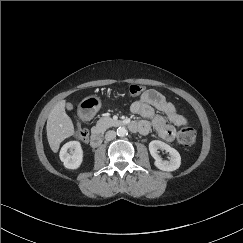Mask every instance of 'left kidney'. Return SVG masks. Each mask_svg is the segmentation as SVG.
Segmentation results:
<instances>
[{
  "instance_id": "left-kidney-1",
  "label": "left kidney",
  "mask_w": 243,
  "mask_h": 243,
  "mask_svg": "<svg viewBox=\"0 0 243 243\" xmlns=\"http://www.w3.org/2000/svg\"><path fill=\"white\" fill-rule=\"evenodd\" d=\"M158 149L165 150L169 153V161H163L161 159V157L158 155ZM149 151L151 156L155 159V166L162 171H174L181 165V157L179 152L162 141H151L149 143Z\"/></svg>"
}]
</instances>
